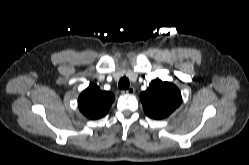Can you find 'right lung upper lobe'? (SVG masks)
<instances>
[{"label":"right lung upper lobe","instance_id":"obj_1","mask_svg":"<svg viewBox=\"0 0 249 165\" xmlns=\"http://www.w3.org/2000/svg\"><path fill=\"white\" fill-rule=\"evenodd\" d=\"M115 96L111 92L101 91L95 84H90L78 98L80 111L89 119L95 120L105 116Z\"/></svg>","mask_w":249,"mask_h":165}]
</instances>
